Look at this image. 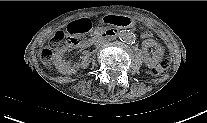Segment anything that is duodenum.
Masks as SVG:
<instances>
[{
	"label": "duodenum",
	"instance_id": "duodenum-1",
	"mask_svg": "<svg viewBox=\"0 0 207 123\" xmlns=\"http://www.w3.org/2000/svg\"><path fill=\"white\" fill-rule=\"evenodd\" d=\"M117 33H118V30L117 29H109V30L105 31L104 33L96 36L94 38V40L108 39V38H111V37L116 36Z\"/></svg>",
	"mask_w": 207,
	"mask_h": 123
}]
</instances>
